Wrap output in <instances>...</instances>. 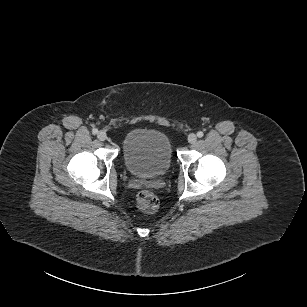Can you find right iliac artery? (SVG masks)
Masks as SVG:
<instances>
[{
	"mask_svg": "<svg viewBox=\"0 0 307 307\" xmlns=\"http://www.w3.org/2000/svg\"><path fill=\"white\" fill-rule=\"evenodd\" d=\"M92 133H93L94 135L97 134V133H98V129L94 128V129L92 130Z\"/></svg>",
	"mask_w": 307,
	"mask_h": 307,
	"instance_id": "82829eb1",
	"label": "right iliac artery"
}]
</instances>
